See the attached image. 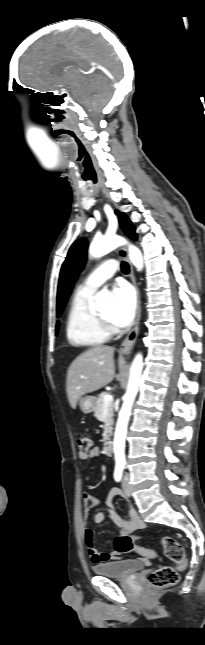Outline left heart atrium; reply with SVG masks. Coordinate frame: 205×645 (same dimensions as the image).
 Returning a JSON list of instances; mask_svg holds the SVG:
<instances>
[{
  "label": "left heart atrium",
  "instance_id": "left-heart-atrium-1",
  "mask_svg": "<svg viewBox=\"0 0 205 645\" xmlns=\"http://www.w3.org/2000/svg\"><path fill=\"white\" fill-rule=\"evenodd\" d=\"M113 322L119 327L129 325L135 315L137 299L133 289L127 284H120L112 290Z\"/></svg>",
  "mask_w": 205,
  "mask_h": 645
}]
</instances>
